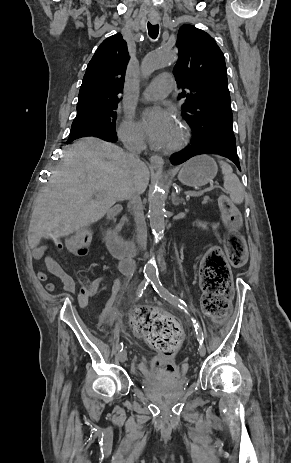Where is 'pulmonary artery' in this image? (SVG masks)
<instances>
[{
    "mask_svg": "<svg viewBox=\"0 0 291 463\" xmlns=\"http://www.w3.org/2000/svg\"><path fill=\"white\" fill-rule=\"evenodd\" d=\"M174 85V78L170 74H161L145 89L142 94V100L153 101L163 99L171 93Z\"/></svg>",
    "mask_w": 291,
    "mask_h": 463,
    "instance_id": "e3ab8cb5",
    "label": "pulmonary artery"
}]
</instances>
